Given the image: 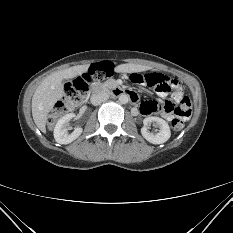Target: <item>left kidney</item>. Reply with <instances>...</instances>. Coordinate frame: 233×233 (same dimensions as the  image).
<instances>
[{"label": "left kidney", "instance_id": "left-kidney-1", "mask_svg": "<svg viewBox=\"0 0 233 233\" xmlns=\"http://www.w3.org/2000/svg\"><path fill=\"white\" fill-rule=\"evenodd\" d=\"M152 122H155L159 127L157 133H152L149 131L148 125ZM143 124L144 126L141 128V134L148 142L152 144L164 143L171 136V131L168 123L159 117H146L143 120Z\"/></svg>", "mask_w": 233, "mask_h": 233}]
</instances>
